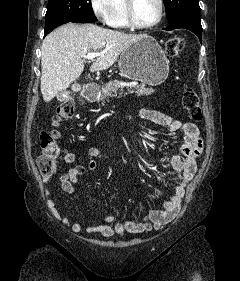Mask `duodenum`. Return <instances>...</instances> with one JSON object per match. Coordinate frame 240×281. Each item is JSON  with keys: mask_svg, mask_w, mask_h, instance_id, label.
<instances>
[{"mask_svg": "<svg viewBox=\"0 0 240 281\" xmlns=\"http://www.w3.org/2000/svg\"><path fill=\"white\" fill-rule=\"evenodd\" d=\"M97 95H98L97 87L90 86L85 90L83 94V98L85 101H93L96 99Z\"/></svg>", "mask_w": 240, "mask_h": 281, "instance_id": "410a0bca", "label": "duodenum"}]
</instances>
